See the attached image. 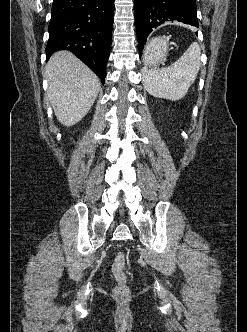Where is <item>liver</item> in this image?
<instances>
[{
  "label": "liver",
  "mask_w": 247,
  "mask_h": 332,
  "mask_svg": "<svg viewBox=\"0 0 247 332\" xmlns=\"http://www.w3.org/2000/svg\"><path fill=\"white\" fill-rule=\"evenodd\" d=\"M47 94L59 122L67 127L78 123L95 102L99 78L68 51L54 53L45 67Z\"/></svg>",
  "instance_id": "6515ba94"
}]
</instances>
